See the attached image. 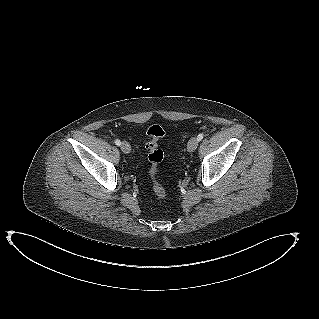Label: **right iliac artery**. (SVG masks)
<instances>
[{"instance_id":"82829eb1","label":"right iliac artery","mask_w":319,"mask_h":319,"mask_svg":"<svg viewBox=\"0 0 319 319\" xmlns=\"http://www.w3.org/2000/svg\"><path fill=\"white\" fill-rule=\"evenodd\" d=\"M115 144L117 145V146H120L121 145V142H120V140H118V139H115Z\"/></svg>"}]
</instances>
